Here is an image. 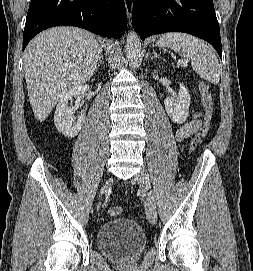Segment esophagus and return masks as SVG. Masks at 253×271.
<instances>
[{
  "instance_id": "34e87169",
  "label": "esophagus",
  "mask_w": 253,
  "mask_h": 271,
  "mask_svg": "<svg viewBox=\"0 0 253 271\" xmlns=\"http://www.w3.org/2000/svg\"><path fill=\"white\" fill-rule=\"evenodd\" d=\"M125 2V9L128 19H131L132 10H133V1L132 0H124Z\"/></svg>"
}]
</instances>
